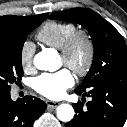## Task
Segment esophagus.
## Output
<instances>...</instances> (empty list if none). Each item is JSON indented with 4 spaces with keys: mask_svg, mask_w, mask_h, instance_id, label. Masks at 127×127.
Segmentation results:
<instances>
[{
    "mask_svg": "<svg viewBox=\"0 0 127 127\" xmlns=\"http://www.w3.org/2000/svg\"><path fill=\"white\" fill-rule=\"evenodd\" d=\"M46 104H47L48 109H55L59 105V102L47 100Z\"/></svg>",
    "mask_w": 127,
    "mask_h": 127,
    "instance_id": "esophagus-1",
    "label": "esophagus"
}]
</instances>
